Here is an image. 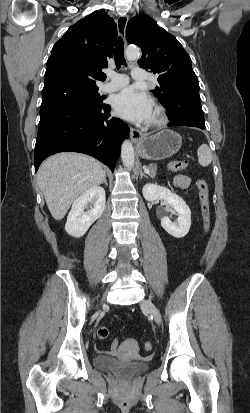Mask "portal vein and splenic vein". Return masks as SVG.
I'll return each instance as SVG.
<instances>
[{
  "label": "portal vein and splenic vein",
  "mask_w": 250,
  "mask_h": 413,
  "mask_svg": "<svg viewBox=\"0 0 250 413\" xmlns=\"http://www.w3.org/2000/svg\"><path fill=\"white\" fill-rule=\"evenodd\" d=\"M145 171H146L147 173H149V170H148V169H146V168H145Z\"/></svg>",
  "instance_id": "obj_1"
}]
</instances>
